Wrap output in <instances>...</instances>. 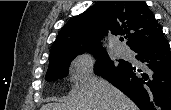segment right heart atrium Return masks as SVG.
<instances>
[{"label": "right heart atrium", "instance_id": "right-heart-atrium-1", "mask_svg": "<svg viewBox=\"0 0 171 110\" xmlns=\"http://www.w3.org/2000/svg\"><path fill=\"white\" fill-rule=\"evenodd\" d=\"M98 71V63L93 56L77 55L72 61L71 78L77 84H86L97 76Z\"/></svg>", "mask_w": 171, "mask_h": 110}]
</instances>
